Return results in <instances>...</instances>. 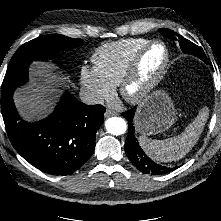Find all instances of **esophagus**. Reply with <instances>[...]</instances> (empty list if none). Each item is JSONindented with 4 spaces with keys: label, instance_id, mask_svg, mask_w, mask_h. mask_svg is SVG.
<instances>
[{
    "label": "esophagus",
    "instance_id": "obj_1",
    "mask_svg": "<svg viewBox=\"0 0 221 221\" xmlns=\"http://www.w3.org/2000/svg\"><path fill=\"white\" fill-rule=\"evenodd\" d=\"M117 115V112L111 109H107L105 112V117H110V116H114Z\"/></svg>",
    "mask_w": 221,
    "mask_h": 221
}]
</instances>
